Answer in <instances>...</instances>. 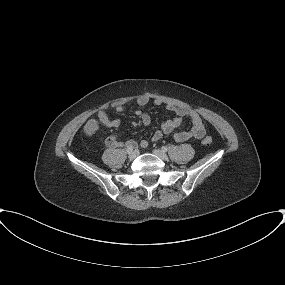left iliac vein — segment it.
I'll return each mask as SVG.
<instances>
[{"label": "left iliac vein", "mask_w": 285, "mask_h": 285, "mask_svg": "<svg viewBox=\"0 0 285 285\" xmlns=\"http://www.w3.org/2000/svg\"><path fill=\"white\" fill-rule=\"evenodd\" d=\"M153 153L162 160H166L168 158L167 154L160 149L153 150Z\"/></svg>", "instance_id": "1"}]
</instances>
